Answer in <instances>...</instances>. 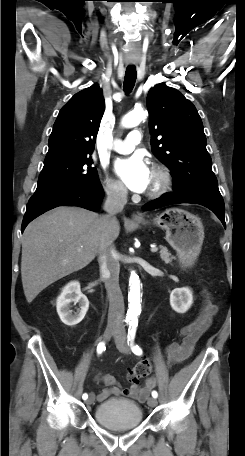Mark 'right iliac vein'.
I'll use <instances>...</instances> for the list:
<instances>
[{
    "label": "right iliac vein",
    "mask_w": 245,
    "mask_h": 456,
    "mask_svg": "<svg viewBox=\"0 0 245 456\" xmlns=\"http://www.w3.org/2000/svg\"><path fill=\"white\" fill-rule=\"evenodd\" d=\"M118 329L114 326L107 327L104 334H103V340L108 341L112 336H114L117 333ZM95 400L94 394H90L88 399L86 400L87 405H91Z\"/></svg>",
    "instance_id": "right-iliac-vein-1"
}]
</instances>
